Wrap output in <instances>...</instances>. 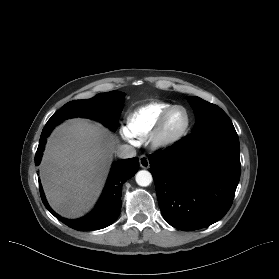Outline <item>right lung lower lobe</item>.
Listing matches in <instances>:
<instances>
[{
    "mask_svg": "<svg viewBox=\"0 0 279 279\" xmlns=\"http://www.w3.org/2000/svg\"><path fill=\"white\" fill-rule=\"evenodd\" d=\"M54 125H46L42 131L39 146L35 155V164L38 166L41 161L42 152L45 147L46 138L51 133ZM139 167L138 158L124 159L113 164L104 191L95 208L85 217L77 220H68L56 214L48 205L44 192L39 182L41 199L45 207L61 222L67 226L80 230H97L112 224L118 217L121 210L122 185L135 175Z\"/></svg>",
    "mask_w": 279,
    "mask_h": 279,
    "instance_id": "1",
    "label": "right lung lower lobe"
}]
</instances>
